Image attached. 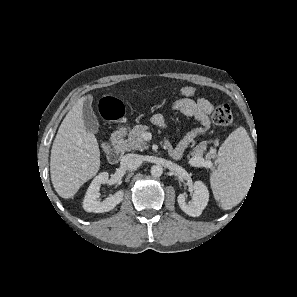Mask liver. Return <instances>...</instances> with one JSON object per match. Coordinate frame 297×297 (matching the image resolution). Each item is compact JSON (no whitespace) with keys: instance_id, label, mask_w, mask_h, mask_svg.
Masks as SVG:
<instances>
[{"instance_id":"6515ba94","label":"liver","mask_w":297,"mask_h":297,"mask_svg":"<svg viewBox=\"0 0 297 297\" xmlns=\"http://www.w3.org/2000/svg\"><path fill=\"white\" fill-rule=\"evenodd\" d=\"M80 98L62 121L54 139L50 173L57 194L68 199L94 177L100 169V150L96 137L86 130L83 105L87 98Z\"/></svg>"}]
</instances>
